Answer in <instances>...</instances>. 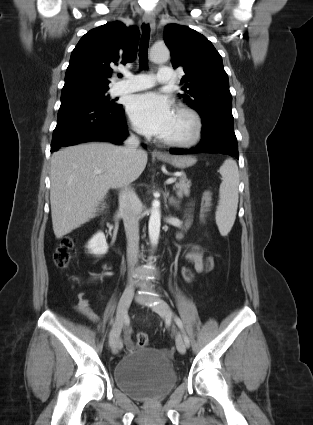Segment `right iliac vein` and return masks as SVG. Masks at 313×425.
Masks as SVG:
<instances>
[{
	"instance_id": "1",
	"label": "right iliac vein",
	"mask_w": 313,
	"mask_h": 425,
	"mask_svg": "<svg viewBox=\"0 0 313 425\" xmlns=\"http://www.w3.org/2000/svg\"><path fill=\"white\" fill-rule=\"evenodd\" d=\"M134 289L135 286L133 284H129L127 285V287L125 288L119 304H118V309H117V318H116V322L114 324V327L111 331L110 334V346L115 349L118 346V342H119V337H120V333L123 327V323H124V319L125 316L127 314V310L129 308V305L132 301L133 295H134Z\"/></svg>"
}]
</instances>
